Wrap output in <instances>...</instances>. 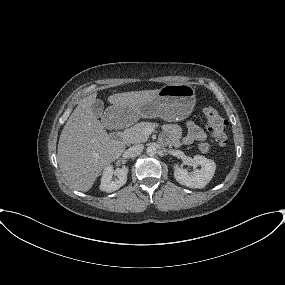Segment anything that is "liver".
<instances>
[{"label": "liver", "mask_w": 285, "mask_h": 285, "mask_svg": "<svg viewBox=\"0 0 285 285\" xmlns=\"http://www.w3.org/2000/svg\"><path fill=\"white\" fill-rule=\"evenodd\" d=\"M159 89L131 91L110 95L108 102L132 107L153 98ZM97 93L80 100L67 120L58 143L57 160L60 170L71 187L86 192L91 189L104 167L118 159L125 145L111 138L93 114L92 104Z\"/></svg>", "instance_id": "liver-1"}]
</instances>
